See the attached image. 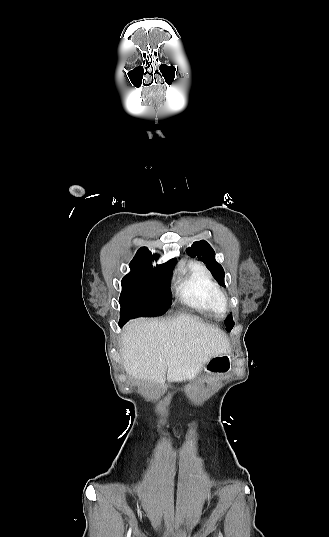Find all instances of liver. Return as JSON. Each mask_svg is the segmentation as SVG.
Returning <instances> with one entry per match:
<instances>
[{
  "label": "liver",
  "instance_id": "1",
  "mask_svg": "<svg viewBox=\"0 0 329 537\" xmlns=\"http://www.w3.org/2000/svg\"><path fill=\"white\" fill-rule=\"evenodd\" d=\"M120 354L127 374L163 385L199 374L214 356L229 353L218 327L181 315L176 319H139L124 327Z\"/></svg>",
  "mask_w": 329,
  "mask_h": 537
}]
</instances>
